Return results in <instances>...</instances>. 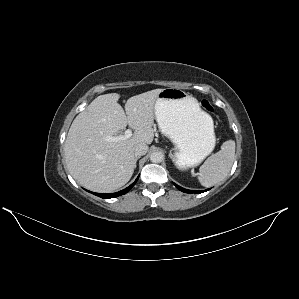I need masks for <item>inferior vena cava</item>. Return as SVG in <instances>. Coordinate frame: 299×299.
<instances>
[{
    "mask_svg": "<svg viewBox=\"0 0 299 299\" xmlns=\"http://www.w3.org/2000/svg\"><path fill=\"white\" fill-rule=\"evenodd\" d=\"M148 146L146 144H139L134 148V155L136 157L143 156L147 153Z\"/></svg>",
    "mask_w": 299,
    "mask_h": 299,
    "instance_id": "602c4592",
    "label": "inferior vena cava"
}]
</instances>
